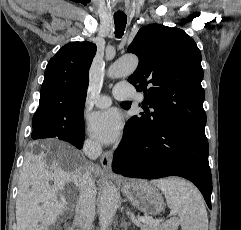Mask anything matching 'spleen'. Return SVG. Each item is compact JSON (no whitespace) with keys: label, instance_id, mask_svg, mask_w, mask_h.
Masks as SVG:
<instances>
[{"label":"spleen","instance_id":"3e777b00","mask_svg":"<svg viewBox=\"0 0 241 230\" xmlns=\"http://www.w3.org/2000/svg\"><path fill=\"white\" fill-rule=\"evenodd\" d=\"M164 194L171 212L178 215L182 230H208V217L200 192L188 181L166 178L151 181Z\"/></svg>","mask_w":241,"mask_h":230}]
</instances>
